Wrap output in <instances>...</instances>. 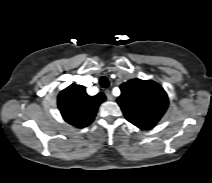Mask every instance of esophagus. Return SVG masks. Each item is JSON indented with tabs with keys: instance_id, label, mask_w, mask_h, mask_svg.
Returning a JSON list of instances; mask_svg holds the SVG:
<instances>
[{
	"instance_id": "obj_1",
	"label": "esophagus",
	"mask_w": 212,
	"mask_h": 183,
	"mask_svg": "<svg viewBox=\"0 0 212 183\" xmlns=\"http://www.w3.org/2000/svg\"><path fill=\"white\" fill-rule=\"evenodd\" d=\"M105 94H106V97H107L108 100H110V101L114 100V97H113V95H112L110 90H106Z\"/></svg>"
}]
</instances>
